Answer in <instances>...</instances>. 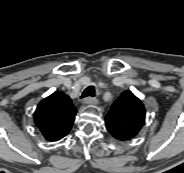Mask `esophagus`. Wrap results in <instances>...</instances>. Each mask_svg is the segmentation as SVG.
Instances as JSON below:
<instances>
[{"mask_svg":"<svg viewBox=\"0 0 184 173\" xmlns=\"http://www.w3.org/2000/svg\"><path fill=\"white\" fill-rule=\"evenodd\" d=\"M98 103V99L94 97H86L83 99V104L86 105H96Z\"/></svg>","mask_w":184,"mask_h":173,"instance_id":"esophagus-1","label":"esophagus"}]
</instances>
